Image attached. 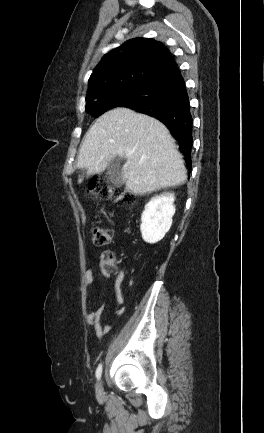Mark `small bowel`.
Returning <instances> with one entry per match:
<instances>
[{
  "label": "small bowel",
  "mask_w": 264,
  "mask_h": 433,
  "mask_svg": "<svg viewBox=\"0 0 264 433\" xmlns=\"http://www.w3.org/2000/svg\"><path fill=\"white\" fill-rule=\"evenodd\" d=\"M101 266H103L101 264ZM85 282L88 286L94 283V274L92 271L88 270L85 273ZM122 282H123V274L120 273L115 279L114 289H115V299L117 302V315H122L124 313V296L122 292ZM104 311V305H100L95 311L90 312L87 315V323L94 327L95 334L98 338H102L106 334L110 332V326L107 324H103L101 321V317Z\"/></svg>",
  "instance_id": "c3829d8e"
}]
</instances>
